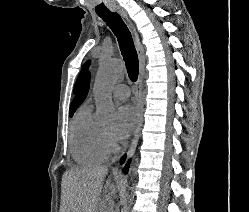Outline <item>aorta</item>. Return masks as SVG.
I'll use <instances>...</instances> for the list:
<instances>
[{"instance_id": "1", "label": "aorta", "mask_w": 249, "mask_h": 212, "mask_svg": "<svg viewBox=\"0 0 249 212\" xmlns=\"http://www.w3.org/2000/svg\"><path fill=\"white\" fill-rule=\"evenodd\" d=\"M123 62L118 59L104 60L100 63L93 92L97 105V116L102 121L116 118V109L112 102L111 90L123 72ZM121 212H128V193L124 192L121 199Z\"/></svg>"}]
</instances>
